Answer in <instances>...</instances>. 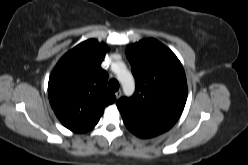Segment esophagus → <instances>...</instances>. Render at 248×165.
<instances>
[{"label":"esophagus","mask_w":248,"mask_h":165,"mask_svg":"<svg viewBox=\"0 0 248 165\" xmlns=\"http://www.w3.org/2000/svg\"><path fill=\"white\" fill-rule=\"evenodd\" d=\"M121 94H122L121 90H118L117 92H115L116 98L119 99L121 97Z\"/></svg>","instance_id":"esophagus-1"}]
</instances>
